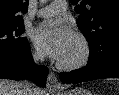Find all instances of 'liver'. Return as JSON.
Returning <instances> with one entry per match:
<instances>
[{
	"instance_id": "1",
	"label": "liver",
	"mask_w": 119,
	"mask_h": 95,
	"mask_svg": "<svg viewBox=\"0 0 119 95\" xmlns=\"http://www.w3.org/2000/svg\"><path fill=\"white\" fill-rule=\"evenodd\" d=\"M22 82L0 79V95H21ZM34 95H44V91L34 88Z\"/></svg>"
}]
</instances>
